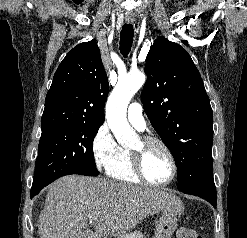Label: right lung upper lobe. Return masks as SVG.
I'll return each instance as SVG.
<instances>
[{"mask_svg": "<svg viewBox=\"0 0 247 238\" xmlns=\"http://www.w3.org/2000/svg\"><path fill=\"white\" fill-rule=\"evenodd\" d=\"M109 85L95 40L68 52L53 77L45 99L41 127L103 123Z\"/></svg>", "mask_w": 247, "mask_h": 238, "instance_id": "cb5924a9", "label": "right lung upper lobe"}]
</instances>
